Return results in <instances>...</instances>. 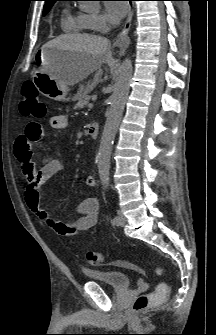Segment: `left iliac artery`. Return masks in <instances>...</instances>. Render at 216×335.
<instances>
[{"label":"left iliac artery","instance_id":"obj_1","mask_svg":"<svg viewBox=\"0 0 216 335\" xmlns=\"http://www.w3.org/2000/svg\"><path fill=\"white\" fill-rule=\"evenodd\" d=\"M107 186H108V184L105 185L104 187L107 188ZM118 221H119V217H118V216H114V217H113V223L115 224V223H117Z\"/></svg>","mask_w":216,"mask_h":335}]
</instances>
